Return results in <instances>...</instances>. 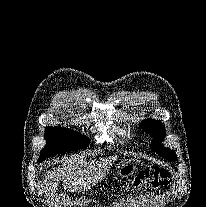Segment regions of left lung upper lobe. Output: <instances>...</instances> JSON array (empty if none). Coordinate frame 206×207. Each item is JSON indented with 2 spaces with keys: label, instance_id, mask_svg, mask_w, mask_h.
<instances>
[{
  "label": "left lung upper lobe",
  "instance_id": "left-lung-upper-lobe-1",
  "mask_svg": "<svg viewBox=\"0 0 206 207\" xmlns=\"http://www.w3.org/2000/svg\"><path fill=\"white\" fill-rule=\"evenodd\" d=\"M141 126L145 132L151 134L152 137L155 138V140L152 141V149L156 153L170 161H175L177 159L176 154L173 151L166 149L161 145V141L165 135V129L164 125L160 121L147 120L142 123Z\"/></svg>",
  "mask_w": 206,
  "mask_h": 207
}]
</instances>
